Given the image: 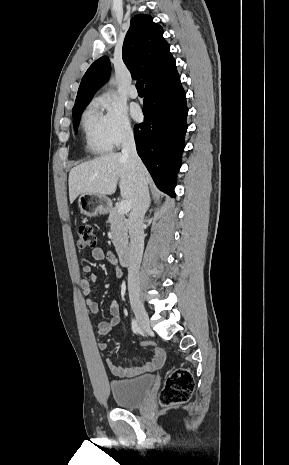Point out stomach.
<instances>
[{
	"label": "stomach",
	"instance_id": "0dacf381",
	"mask_svg": "<svg viewBox=\"0 0 289 465\" xmlns=\"http://www.w3.org/2000/svg\"><path fill=\"white\" fill-rule=\"evenodd\" d=\"M111 207V200L104 195L84 193L78 198V208L87 217L105 214Z\"/></svg>",
	"mask_w": 289,
	"mask_h": 465
}]
</instances>
